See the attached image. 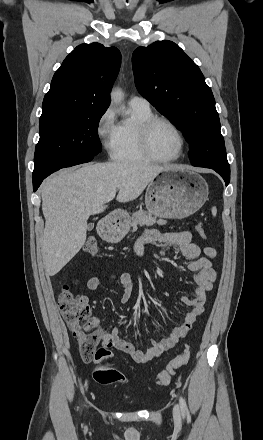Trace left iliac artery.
Segmentation results:
<instances>
[{
	"instance_id": "left-iliac-artery-1",
	"label": "left iliac artery",
	"mask_w": 263,
	"mask_h": 440,
	"mask_svg": "<svg viewBox=\"0 0 263 440\" xmlns=\"http://www.w3.org/2000/svg\"><path fill=\"white\" fill-rule=\"evenodd\" d=\"M179 402H180V408H181V411H182L183 413H186V412L188 411V409H187V405H186V403H185V400L183 399L182 396H180V400H179Z\"/></svg>"
}]
</instances>
